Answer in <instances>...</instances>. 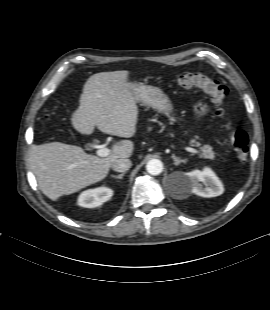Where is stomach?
<instances>
[{
    "instance_id": "obj_1",
    "label": "stomach",
    "mask_w": 270,
    "mask_h": 310,
    "mask_svg": "<svg viewBox=\"0 0 270 310\" xmlns=\"http://www.w3.org/2000/svg\"><path fill=\"white\" fill-rule=\"evenodd\" d=\"M132 92L136 101L150 105L154 109L166 113H172V104L167 95L158 87L144 85L141 83L131 84ZM171 121H176L172 115Z\"/></svg>"
}]
</instances>
